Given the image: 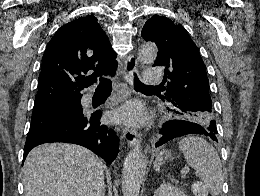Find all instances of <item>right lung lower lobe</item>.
I'll use <instances>...</instances> for the list:
<instances>
[{"instance_id": "obj_1", "label": "right lung lower lobe", "mask_w": 260, "mask_h": 196, "mask_svg": "<svg viewBox=\"0 0 260 196\" xmlns=\"http://www.w3.org/2000/svg\"><path fill=\"white\" fill-rule=\"evenodd\" d=\"M81 96L61 101L64 108H82ZM101 111L87 113L81 119L59 123L29 132L24 147L23 162L29 151L37 145L51 142H66L84 146L112 163L118 154L119 138L116 132L100 123Z\"/></svg>"}]
</instances>
